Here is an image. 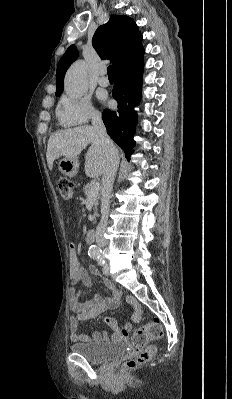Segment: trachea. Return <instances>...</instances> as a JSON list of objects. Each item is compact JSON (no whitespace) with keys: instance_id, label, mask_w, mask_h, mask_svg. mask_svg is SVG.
Returning a JSON list of instances; mask_svg holds the SVG:
<instances>
[{"instance_id":"3493384b","label":"trachea","mask_w":232,"mask_h":399,"mask_svg":"<svg viewBox=\"0 0 232 399\" xmlns=\"http://www.w3.org/2000/svg\"><path fill=\"white\" fill-rule=\"evenodd\" d=\"M107 74H108V77H115L112 65H109V67L107 69Z\"/></svg>"}]
</instances>
